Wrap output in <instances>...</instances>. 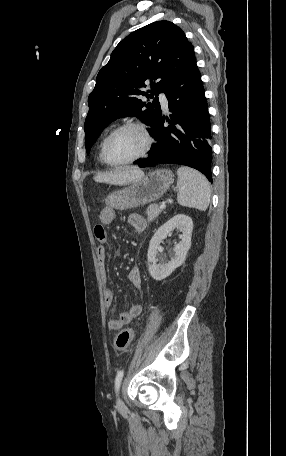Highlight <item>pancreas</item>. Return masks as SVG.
<instances>
[{"label": "pancreas", "mask_w": 286, "mask_h": 456, "mask_svg": "<svg viewBox=\"0 0 286 456\" xmlns=\"http://www.w3.org/2000/svg\"><path fill=\"white\" fill-rule=\"evenodd\" d=\"M161 212L162 209L158 206V204H151L146 210L148 221H153L155 218L159 216Z\"/></svg>", "instance_id": "pancreas-1"}]
</instances>
